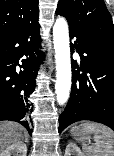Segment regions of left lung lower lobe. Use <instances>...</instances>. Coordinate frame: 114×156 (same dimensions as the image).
I'll return each mask as SVG.
<instances>
[{
    "label": "left lung lower lobe",
    "instance_id": "1",
    "mask_svg": "<svg viewBox=\"0 0 114 156\" xmlns=\"http://www.w3.org/2000/svg\"><path fill=\"white\" fill-rule=\"evenodd\" d=\"M69 30L71 39L76 38L71 45L81 62L78 65L72 61V90L59 117V132L81 120L99 122L114 130V47L70 25Z\"/></svg>",
    "mask_w": 114,
    "mask_h": 156
}]
</instances>
